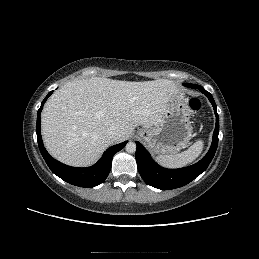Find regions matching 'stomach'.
Returning <instances> with one entry per match:
<instances>
[{
	"mask_svg": "<svg viewBox=\"0 0 259 259\" xmlns=\"http://www.w3.org/2000/svg\"><path fill=\"white\" fill-rule=\"evenodd\" d=\"M190 112L183 94L178 90L171 96L160 122L138 131L139 138L157 155L175 154L184 148L192 137Z\"/></svg>",
	"mask_w": 259,
	"mask_h": 259,
	"instance_id": "1",
	"label": "stomach"
}]
</instances>
